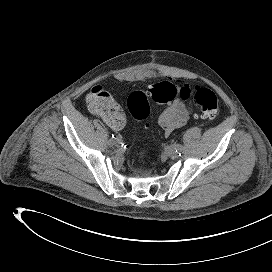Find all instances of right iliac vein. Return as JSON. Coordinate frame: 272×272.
Listing matches in <instances>:
<instances>
[{
  "instance_id": "1",
  "label": "right iliac vein",
  "mask_w": 272,
  "mask_h": 272,
  "mask_svg": "<svg viewBox=\"0 0 272 272\" xmlns=\"http://www.w3.org/2000/svg\"><path fill=\"white\" fill-rule=\"evenodd\" d=\"M121 143H122V142H119V141L116 142V143H113V142H111L110 140L108 141V144L111 145V146H113V145L119 146Z\"/></svg>"
}]
</instances>
